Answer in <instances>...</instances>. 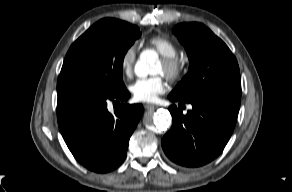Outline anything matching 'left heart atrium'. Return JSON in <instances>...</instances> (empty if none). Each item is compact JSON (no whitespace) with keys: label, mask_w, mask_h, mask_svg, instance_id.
Masks as SVG:
<instances>
[{"label":"left heart atrium","mask_w":292,"mask_h":192,"mask_svg":"<svg viewBox=\"0 0 292 192\" xmlns=\"http://www.w3.org/2000/svg\"><path fill=\"white\" fill-rule=\"evenodd\" d=\"M130 91L136 101L153 102L158 95L164 93L165 83L159 75L140 78L130 86Z\"/></svg>","instance_id":"1"}]
</instances>
